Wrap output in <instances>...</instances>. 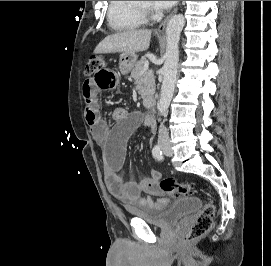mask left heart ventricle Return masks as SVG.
Returning a JSON list of instances; mask_svg holds the SVG:
<instances>
[{
  "mask_svg": "<svg viewBox=\"0 0 271 266\" xmlns=\"http://www.w3.org/2000/svg\"><path fill=\"white\" fill-rule=\"evenodd\" d=\"M140 7H146L148 4L146 1H142V3L139 4Z\"/></svg>",
  "mask_w": 271,
  "mask_h": 266,
  "instance_id": "1",
  "label": "left heart ventricle"
}]
</instances>
